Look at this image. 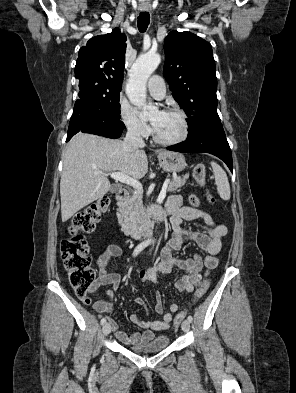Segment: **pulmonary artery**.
<instances>
[{"mask_svg":"<svg viewBox=\"0 0 296 393\" xmlns=\"http://www.w3.org/2000/svg\"><path fill=\"white\" fill-rule=\"evenodd\" d=\"M148 90L156 99H162L166 93V86L163 78L159 75H153L148 81Z\"/></svg>","mask_w":296,"mask_h":393,"instance_id":"1","label":"pulmonary artery"}]
</instances>
